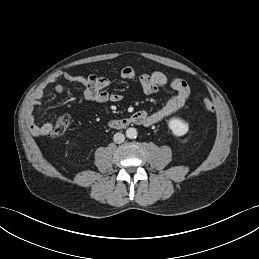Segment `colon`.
Listing matches in <instances>:
<instances>
[{
  "instance_id": "obj_1",
  "label": "colon",
  "mask_w": 259,
  "mask_h": 259,
  "mask_svg": "<svg viewBox=\"0 0 259 259\" xmlns=\"http://www.w3.org/2000/svg\"><path fill=\"white\" fill-rule=\"evenodd\" d=\"M203 106H204L205 110L208 112H212L214 110V105L208 99H205L203 101ZM69 126H70V118L66 115L60 117L56 121V123L50 133V136L53 138H58V137L64 135L66 133V131L68 130Z\"/></svg>"
}]
</instances>
